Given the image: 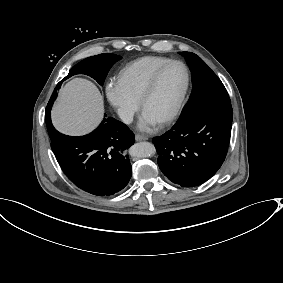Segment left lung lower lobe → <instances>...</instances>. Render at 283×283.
<instances>
[{"instance_id": "0a47b994", "label": "left lung lower lobe", "mask_w": 283, "mask_h": 283, "mask_svg": "<svg viewBox=\"0 0 283 283\" xmlns=\"http://www.w3.org/2000/svg\"><path fill=\"white\" fill-rule=\"evenodd\" d=\"M232 127V106L200 109L153 138L163 174L182 187L210 179L225 160Z\"/></svg>"}]
</instances>
